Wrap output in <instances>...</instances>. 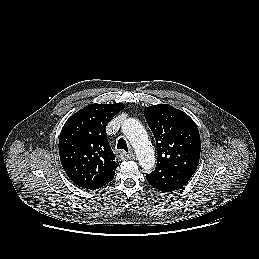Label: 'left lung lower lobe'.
<instances>
[{
    "label": "left lung lower lobe",
    "instance_id": "left-lung-lower-lobe-1",
    "mask_svg": "<svg viewBox=\"0 0 259 259\" xmlns=\"http://www.w3.org/2000/svg\"><path fill=\"white\" fill-rule=\"evenodd\" d=\"M148 183L162 192H172L183 187L188 180L172 171L161 169L146 174Z\"/></svg>",
    "mask_w": 259,
    "mask_h": 259
}]
</instances>
